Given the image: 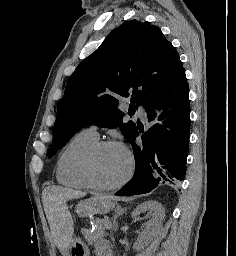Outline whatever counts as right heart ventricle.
I'll use <instances>...</instances> for the list:
<instances>
[{
    "label": "right heart ventricle",
    "instance_id": "e07e8e85",
    "mask_svg": "<svg viewBox=\"0 0 236 256\" xmlns=\"http://www.w3.org/2000/svg\"><path fill=\"white\" fill-rule=\"evenodd\" d=\"M99 139L85 130L77 133L60 154L56 163V179L59 184L75 189H88L83 176L86 156Z\"/></svg>",
    "mask_w": 236,
    "mask_h": 256
}]
</instances>
